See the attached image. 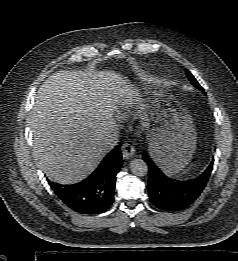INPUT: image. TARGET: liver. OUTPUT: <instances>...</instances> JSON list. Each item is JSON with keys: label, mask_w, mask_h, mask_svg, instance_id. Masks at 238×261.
<instances>
[{"label": "liver", "mask_w": 238, "mask_h": 261, "mask_svg": "<svg viewBox=\"0 0 238 261\" xmlns=\"http://www.w3.org/2000/svg\"><path fill=\"white\" fill-rule=\"evenodd\" d=\"M142 100L135 87L113 71H58L38 90L31 113L33 154L47 177L74 184L89 176L106 151L102 142L120 105Z\"/></svg>", "instance_id": "obj_1"}]
</instances>
